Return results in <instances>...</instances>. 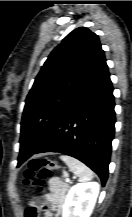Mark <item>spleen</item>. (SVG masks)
Returning <instances> with one entry per match:
<instances>
[{"instance_id":"3e777b00","label":"spleen","mask_w":132,"mask_h":217,"mask_svg":"<svg viewBox=\"0 0 132 217\" xmlns=\"http://www.w3.org/2000/svg\"><path fill=\"white\" fill-rule=\"evenodd\" d=\"M60 159L66 163L70 171L79 177L80 181L86 182L94 177L93 171L78 159L68 155H61Z\"/></svg>"}]
</instances>
